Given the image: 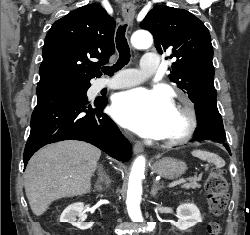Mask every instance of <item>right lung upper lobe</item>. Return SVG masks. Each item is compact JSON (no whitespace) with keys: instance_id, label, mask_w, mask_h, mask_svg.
Masks as SVG:
<instances>
[{"instance_id":"right-lung-upper-lobe-1","label":"right lung upper lobe","mask_w":250,"mask_h":235,"mask_svg":"<svg viewBox=\"0 0 250 235\" xmlns=\"http://www.w3.org/2000/svg\"><path fill=\"white\" fill-rule=\"evenodd\" d=\"M115 25L98 4L75 9L54 22L43 46L37 94L90 84L92 78L100 77V66L115 51Z\"/></svg>"}]
</instances>
